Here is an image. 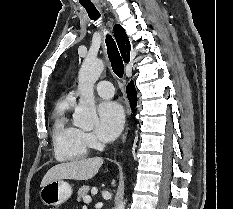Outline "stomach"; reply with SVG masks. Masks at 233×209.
Instances as JSON below:
<instances>
[{
	"mask_svg": "<svg viewBox=\"0 0 233 209\" xmlns=\"http://www.w3.org/2000/svg\"><path fill=\"white\" fill-rule=\"evenodd\" d=\"M72 186L64 180H54L43 186L40 198L46 205L60 206L72 196Z\"/></svg>",
	"mask_w": 233,
	"mask_h": 209,
	"instance_id": "0dacf381",
	"label": "stomach"
}]
</instances>
